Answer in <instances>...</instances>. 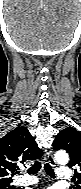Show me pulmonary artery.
<instances>
[{
    "label": "pulmonary artery",
    "instance_id": "obj_1",
    "mask_svg": "<svg viewBox=\"0 0 81 189\" xmlns=\"http://www.w3.org/2000/svg\"><path fill=\"white\" fill-rule=\"evenodd\" d=\"M56 176L60 181L70 180L72 173L68 167H58L56 169ZM37 183L36 177L20 176L16 179L15 184L18 186H29Z\"/></svg>",
    "mask_w": 81,
    "mask_h": 189
}]
</instances>
